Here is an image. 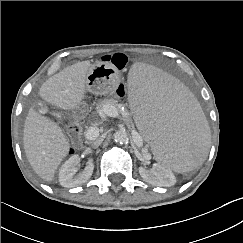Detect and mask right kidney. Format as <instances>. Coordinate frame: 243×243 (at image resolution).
Instances as JSON below:
<instances>
[{"instance_id": "ca27d5eb", "label": "right kidney", "mask_w": 243, "mask_h": 243, "mask_svg": "<svg viewBox=\"0 0 243 243\" xmlns=\"http://www.w3.org/2000/svg\"><path fill=\"white\" fill-rule=\"evenodd\" d=\"M79 161V156L73 155L61 166L59 171V182L63 187H76L87 182L91 177L94 170L92 161L88 162L82 173L75 175L78 171L77 165L79 164Z\"/></svg>"}]
</instances>
